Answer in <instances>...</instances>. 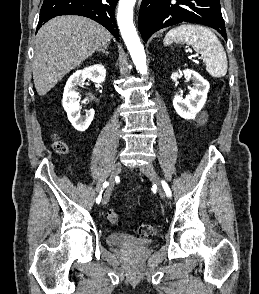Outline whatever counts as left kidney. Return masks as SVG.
Segmentation results:
<instances>
[{"instance_id":"obj_1","label":"left kidney","mask_w":259,"mask_h":294,"mask_svg":"<svg viewBox=\"0 0 259 294\" xmlns=\"http://www.w3.org/2000/svg\"><path fill=\"white\" fill-rule=\"evenodd\" d=\"M182 75H184L186 79L192 80L194 86L191 88L190 94L186 96L185 99L176 94L173 99V106L180 117L192 120L198 116L203 108L210 85L201 75L190 69L173 73L171 79L176 82L177 78Z\"/></svg>"}]
</instances>
